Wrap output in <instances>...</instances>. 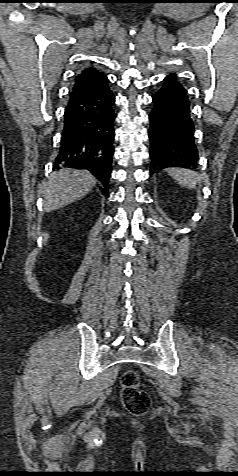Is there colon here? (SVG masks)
<instances>
[{
  "label": "colon",
  "instance_id": "colon-1",
  "mask_svg": "<svg viewBox=\"0 0 238 476\" xmlns=\"http://www.w3.org/2000/svg\"><path fill=\"white\" fill-rule=\"evenodd\" d=\"M121 400L126 410L133 415H142L150 407L148 393L140 389L138 373L129 369L121 376Z\"/></svg>",
  "mask_w": 238,
  "mask_h": 476
}]
</instances>
